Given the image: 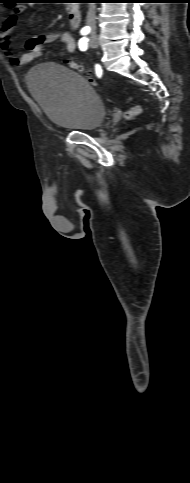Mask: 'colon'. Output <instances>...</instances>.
I'll return each instance as SVG.
<instances>
[{
    "label": "colon",
    "instance_id": "1",
    "mask_svg": "<svg viewBox=\"0 0 190 483\" xmlns=\"http://www.w3.org/2000/svg\"><path fill=\"white\" fill-rule=\"evenodd\" d=\"M66 64L69 65L71 68L79 71V72H84L85 71V67L80 64V63H77L74 59L72 58H68L66 60ZM90 81L92 83H95V80L92 78V77H89ZM129 101H132L131 98H129ZM141 112V108L138 104H133L130 109L126 112V118L128 119H131L135 116H137L139 113Z\"/></svg>",
    "mask_w": 190,
    "mask_h": 483
}]
</instances>
